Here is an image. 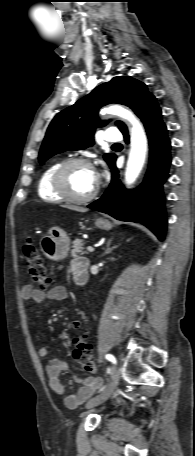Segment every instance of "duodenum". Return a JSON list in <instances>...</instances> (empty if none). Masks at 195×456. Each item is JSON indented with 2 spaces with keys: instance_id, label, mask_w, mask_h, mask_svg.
I'll use <instances>...</instances> for the list:
<instances>
[{
  "instance_id": "obj_1",
  "label": "duodenum",
  "mask_w": 195,
  "mask_h": 456,
  "mask_svg": "<svg viewBox=\"0 0 195 456\" xmlns=\"http://www.w3.org/2000/svg\"><path fill=\"white\" fill-rule=\"evenodd\" d=\"M88 261L84 262L80 267L77 268L74 274V281L77 285L83 286L88 282Z\"/></svg>"
}]
</instances>
